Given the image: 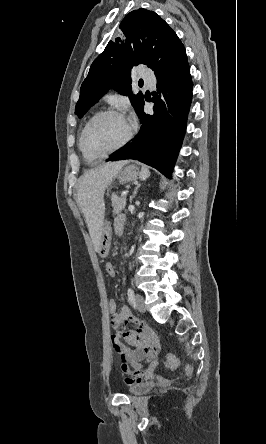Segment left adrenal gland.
Listing matches in <instances>:
<instances>
[{
    "label": "left adrenal gland",
    "mask_w": 266,
    "mask_h": 444,
    "mask_svg": "<svg viewBox=\"0 0 266 444\" xmlns=\"http://www.w3.org/2000/svg\"><path fill=\"white\" fill-rule=\"evenodd\" d=\"M140 186H141V184H139V185L134 189V192H133V195L131 196V199L134 198V197L137 195V192H138V189H139Z\"/></svg>",
    "instance_id": "1"
}]
</instances>
